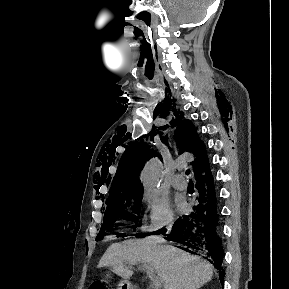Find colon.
<instances>
[{"instance_id":"colon-1","label":"colon","mask_w":289,"mask_h":289,"mask_svg":"<svg viewBox=\"0 0 289 289\" xmlns=\"http://www.w3.org/2000/svg\"><path fill=\"white\" fill-rule=\"evenodd\" d=\"M89 289H109L108 286L102 281H95L91 283Z\"/></svg>"}]
</instances>
